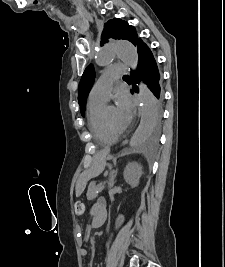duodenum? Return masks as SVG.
<instances>
[{"label": "duodenum", "instance_id": "1", "mask_svg": "<svg viewBox=\"0 0 225 267\" xmlns=\"http://www.w3.org/2000/svg\"><path fill=\"white\" fill-rule=\"evenodd\" d=\"M106 214L103 212H100L93 220L92 225L94 228H98L105 222Z\"/></svg>", "mask_w": 225, "mask_h": 267}]
</instances>
